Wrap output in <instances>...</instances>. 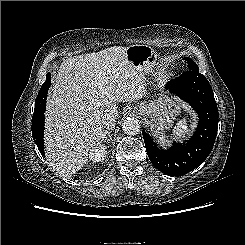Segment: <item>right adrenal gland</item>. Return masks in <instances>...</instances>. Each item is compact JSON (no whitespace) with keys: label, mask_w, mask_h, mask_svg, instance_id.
<instances>
[{"label":"right adrenal gland","mask_w":245,"mask_h":245,"mask_svg":"<svg viewBox=\"0 0 245 245\" xmlns=\"http://www.w3.org/2000/svg\"><path fill=\"white\" fill-rule=\"evenodd\" d=\"M111 130L110 131H108V134H107V136H106V138H105V141L107 140V138H108V140H111Z\"/></svg>","instance_id":"obj_1"}]
</instances>
